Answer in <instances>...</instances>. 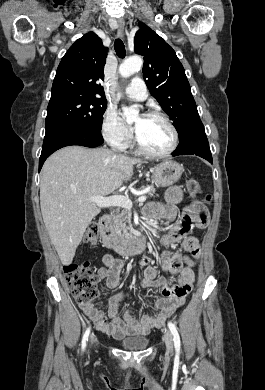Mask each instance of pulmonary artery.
Instances as JSON below:
<instances>
[{
  "instance_id": "obj_1",
  "label": "pulmonary artery",
  "mask_w": 265,
  "mask_h": 390,
  "mask_svg": "<svg viewBox=\"0 0 265 390\" xmlns=\"http://www.w3.org/2000/svg\"><path fill=\"white\" fill-rule=\"evenodd\" d=\"M128 98L142 101L147 97V88L142 78L133 77L125 89Z\"/></svg>"
}]
</instances>
